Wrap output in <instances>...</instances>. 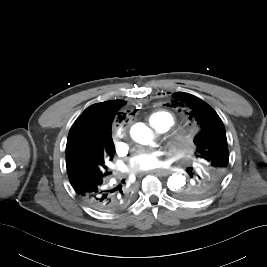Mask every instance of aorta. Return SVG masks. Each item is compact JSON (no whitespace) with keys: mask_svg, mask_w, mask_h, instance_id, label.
<instances>
[{"mask_svg":"<svg viewBox=\"0 0 267 267\" xmlns=\"http://www.w3.org/2000/svg\"><path fill=\"white\" fill-rule=\"evenodd\" d=\"M131 137L139 144L148 145L152 142L151 130L143 123H136L131 127ZM186 184V177L181 173L172 174L167 181V186L171 191L178 192Z\"/></svg>","mask_w":267,"mask_h":267,"instance_id":"obj_1","label":"aorta"}]
</instances>
